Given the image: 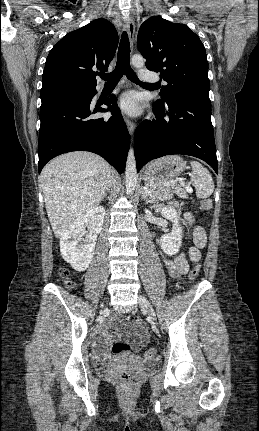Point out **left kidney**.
<instances>
[{
    "label": "left kidney",
    "mask_w": 259,
    "mask_h": 431,
    "mask_svg": "<svg viewBox=\"0 0 259 431\" xmlns=\"http://www.w3.org/2000/svg\"><path fill=\"white\" fill-rule=\"evenodd\" d=\"M161 214L164 218L172 221V232L162 235L160 239L161 249L169 256L175 255L182 243V228L179 224L180 217L173 207H164L161 209Z\"/></svg>",
    "instance_id": "left-kidney-1"
}]
</instances>
